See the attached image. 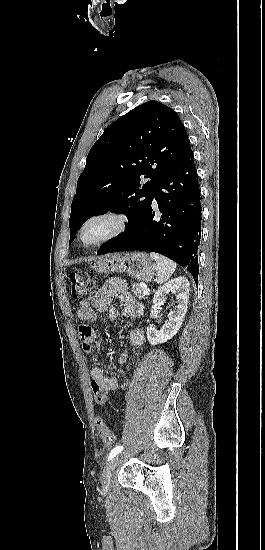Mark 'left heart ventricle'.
Segmentation results:
<instances>
[{"label": "left heart ventricle", "mask_w": 265, "mask_h": 550, "mask_svg": "<svg viewBox=\"0 0 265 550\" xmlns=\"http://www.w3.org/2000/svg\"><path fill=\"white\" fill-rule=\"evenodd\" d=\"M108 229V223L106 221H98L90 226L84 233V240L86 242H92L101 237Z\"/></svg>", "instance_id": "1"}]
</instances>
